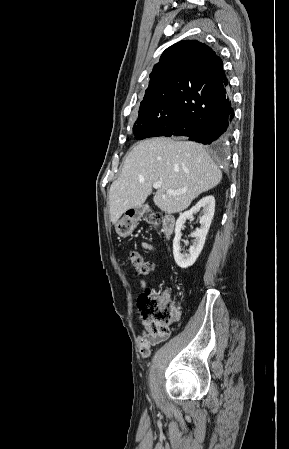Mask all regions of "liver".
Wrapping results in <instances>:
<instances>
[{
	"label": "liver",
	"mask_w": 289,
	"mask_h": 449,
	"mask_svg": "<svg viewBox=\"0 0 289 449\" xmlns=\"http://www.w3.org/2000/svg\"><path fill=\"white\" fill-rule=\"evenodd\" d=\"M221 179V170L202 145L166 137L144 140L127 155L121 175L110 187V220L116 224L127 210L142 206L153 183L161 182L153 197L155 205L172 214L188 208ZM167 189L181 194H168Z\"/></svg>",
	"instance_id": "liver-1"
}]
</instances>
